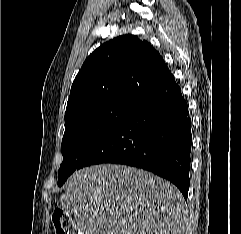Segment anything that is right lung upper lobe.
Instances as JSON below:
<instances>
[{
	"label": "right lung upper lobe",
	"instance_id": "right-lung-upper-lobe-1",
	"mask_svg": "<svg viewBox=\"0 0 241 234\" xmlns=\"http://www.w3.org/2000/svg\"><path fill=\"white\" fill-rule=\"evenodd\" d=\"M170 75L150 43L130 34L116 37L86 58L72 84L65 115L108 101L135 104Z\"/></svg>",
	"mask_w": 241,
	"mask_h": 234
}]
</instances>
